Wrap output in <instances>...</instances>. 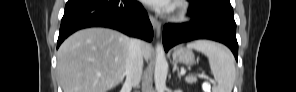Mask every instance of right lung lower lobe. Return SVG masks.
Wrapping results in <instances>:
<instances>
[{
  "mask_svg": "<svg viewBox=\"0 0 296 92\" xmlns=\"http://www.w3.org/2000/svg\"><path fill=\"white\" fill-rule=\"evenodd\" d=\"M87 27H108L146 41L153 38L147 13L133 0H69L61 21L57 48L73 32Z\"/></svg>",
  "mask_w": 296,
  "mask_h": 92,
  "instance_id": "right-lung-lower-lobe-1",
  "label": "right lung lower lobe"
}]
</instances>
